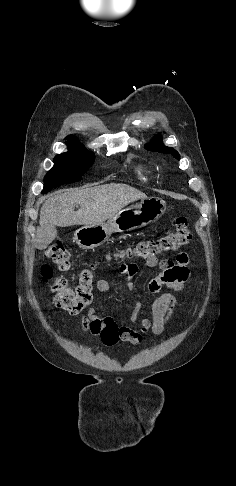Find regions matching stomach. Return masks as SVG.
I'll use <instances>...</instances> for the list:
<instances>
[{
  "label": "stomach",
  "mask_w": 236,
  "mask_h": 486,
  "mask_svg": "<svg viewBox=\"0 0 236 486\" xmlns=\"http://www.w3.org/2000/svg\"><path fill=\"white\" fill-rule=\"evenodd\" d=\"M166 211V203L158 197H149L131 207L121 209L107 222L84 225L74 233V240L82 249H94L106 242L113 232L131 231L154 223Z\"/></svg>",
  "instance_id": "obj_1"
}]
</instances>
